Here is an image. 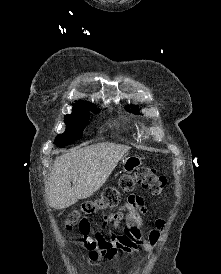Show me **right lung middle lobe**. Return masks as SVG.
<instances>
[{
    "label": "right lung middle lobe",
    "instance_id": "right-lung-middle-lobe-1",
    "mask_svg": "<svg viewBox=\"0 0 221 274\" xmlns=\"http://www.w3.org/2000/svg\"><path fill=\"white\" fill-rule=\"evenodd\" d=\"M89 111L94 114L99 112L97 107L90 102L81 101L73 105L72 113L65 116L66 131L55 139L57 146H67L82 136L83 129L90 118Z\"/></svg>",
    "mask_w": 221,
    "mask_h": 274
}]
</instances>
